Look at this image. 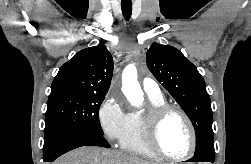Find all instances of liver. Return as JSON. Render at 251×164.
<instances>
[{
    "mask_svg": "<svg viewBox=\"0 0 251 164\" xmlns=\"http://www.w3.org/2000/svg\"><path fill=\"white\" fill-rule=\"evenodd\" d=\"M53 164H156L144 161L121 151L99 148L80 147L62 157Z\"/></svg>",
    "mask_w": 251,
    "mask_h": 164,
    "instance_id": "1",
    "label": "liver"
}]
</instances>
